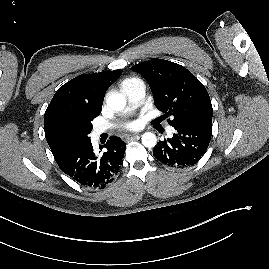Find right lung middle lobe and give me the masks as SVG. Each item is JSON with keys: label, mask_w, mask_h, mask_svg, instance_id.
<instances>
[{"label": "right lung middle lobe", "mask_w": 269, "mask_h": 269, "mask_svg": "<svg viewBox=\"0 0 269 269\" xmlns=\"http://www.w3.org/2000/svg\"><path fill=\"white\" fill-rule=\"evenodd\" d=\"M91 120H68L58 126L53 140L54 156L63 155L90 142Z\"/></svg>", "instance_id": "dd1d6c3e"}]
</instances>
